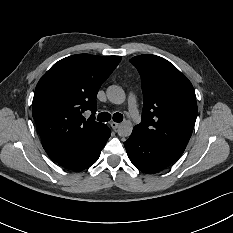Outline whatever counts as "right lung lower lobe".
I'll return each instance as SVG.
<instances>
[{"mask_svg":"<svg viewBox=\"0 0 233 233\" xmlns=\"http://www.w3.org/2000/svg\"><path fill=\"white\" fill-rule=\"evenodd\" d=\"M110 134L111 131L107 128L105 135L98 142L94 143L83 152L57 163L60 166L73 171H80L88 168L98 160L100 152L110 137Z\"/></svg>","mask_w":233,"mask_h":233,"instance_id":"98d812e1","label":"right lung lower lobe"}]
</instances>
